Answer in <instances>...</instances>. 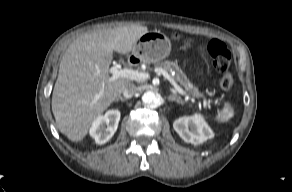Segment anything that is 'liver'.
Instances as JSON below:
<instances>
[{
  "instance_id": "1",
  "label": "liver",
  "mask_w": 292,
  "mask_h": 192,
  "mask_svg": "<svg viewBox=\"0 0 292 192\" xmlns=\"http://www.w3.org/2000/svg\"><path fill=\"white\" fill-rule=\"evenodd\" d=\"M148 32L145 26L101 29L78 36L66 49L52 94V112L61 133L81 141L97 119L130 83L110 81L113 51L127 54Z\"/></svg>"
}]
</instances>
